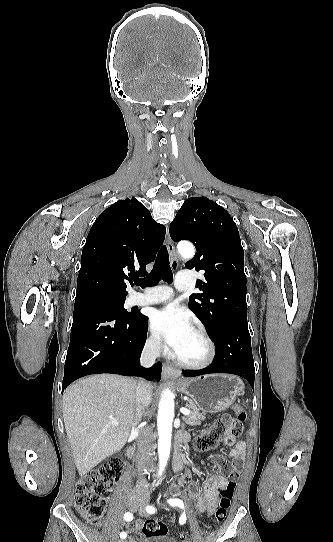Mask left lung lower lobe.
Returning a JSON list of instances; mask_svg holds the SVG:
<instances>
[{"mask_svg": "<svg viewBox=\"0 0 333 542\" xmlns=\"http://www.w3.org/2000/svg\"><path fill=\"white\" fill-rule=\"evenodd\" d=\"M215 357L211 365L197 371H182L186 377L210 373H230L245 378L254 388L255 368L247 323L232 322L213 338Z\"/></svg>", "mask_w": 333, "mask_h": 542, "instance_id": "1", "label": "left lung lower lobe"}]
</instances>
